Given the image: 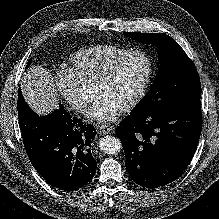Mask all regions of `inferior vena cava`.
<instances>
[{"label": "inferior vena cava", "mask_w": 219, "mask_h": 219, "mask_svg": "<svg viewBox=\"0 0 219 219\" xmlns=\"http://www.w3.org/2000/svg\"><path fill=\"white\" fill-rule=\"evenodd\" d=\"M77 109H78L79 112L83 113V112L86 111L87 105H86V104H81V105H79V106L77 107Z\"/></svg>", "instance_id": "602c4592"}]
</instances>
